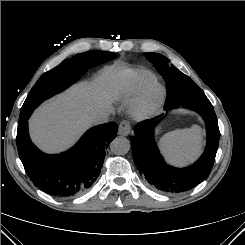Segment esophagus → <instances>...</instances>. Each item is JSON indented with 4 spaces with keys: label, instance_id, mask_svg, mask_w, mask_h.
Listing matches in <instances>:
<instances>
[{
    "label": "esophagus",
    "instance_id": "34e87169",
    "mask_svg": "<svg viewBox=\"0 0 245 245\" xmlns=\"http://www.w3.org/2000/svg\"><path fill=\"white\" fill-rule=\"evenodd\" d=\"M131 133V125L128 121L123 120L118 127V134L122 136H128Z\"/></svg>",
    "mask_w": 245,
    "mask_h": 245
}]
</instances>
